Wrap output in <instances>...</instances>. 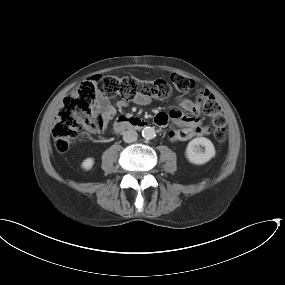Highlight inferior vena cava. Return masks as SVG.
I'll return each mask as SVG.
<instances>
[{
	"label": "inferior vena cava",
	"mask_w": 285,
	"mask_h": 285,
	"mask_svg": "<svg viewBox=\"0 0 285 285\" xmlns=\"http://www.w3.org/2000/svg\"><path fill=\"white\" fill-rule=\"evenodd\" d=\"M137 132L135 130H127L124 132L123 134V140L126 142V143H132L134 141L137 140Z\"/></svg>",
	"instance_id": "1"
}]
</instances>
